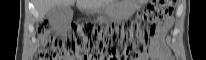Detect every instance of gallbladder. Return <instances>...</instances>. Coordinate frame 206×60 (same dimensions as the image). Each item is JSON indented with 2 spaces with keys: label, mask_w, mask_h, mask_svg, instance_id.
I'll return each instance as SVG.
<instances>
[{
  "label": "gallbladder",
  "mask_w": 206,
  "mask_h": 60,
  "mask_svg": "<svg viewBox=\"0 0 206 60\" xmlns=\"http://www.w3.org/2000/svg\"><path fill=\"white\" fill-rule=\"evenodd\" d=\"M46 16L54 31L64 30L71 23L73 11L70 6L57 5L51 8Z\"/></svg>",
  "instance_id": "bac80fb5"
}]
</instances>
